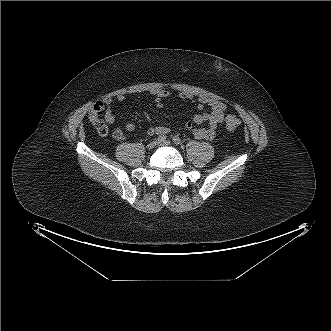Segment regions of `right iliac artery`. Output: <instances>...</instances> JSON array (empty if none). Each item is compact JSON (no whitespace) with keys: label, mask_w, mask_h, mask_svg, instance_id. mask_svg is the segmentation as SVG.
Masks as SVG:
<instances>
[{"label":"right iliac artery","mask_w":331,"mask_h":331,"mask_svg":"<svg viewBox=\"0 0 331 331\" xmlns=\"http://www.w3.org/2000/svg\"><path fill=\"white\" fill-rule=\"evenodd\" d=\"M166 138H167L166 135H159L156 140L158 142H164Z\"/></svg>","instance_id":"obj_1"}]
</instances>
